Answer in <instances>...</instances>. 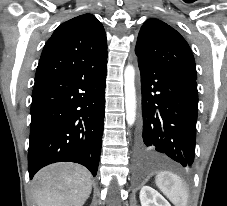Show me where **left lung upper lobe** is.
<instances>
[{
	"mask_svg": "<svg viewBox=\"0 0 227 206\" xmlns=\"http://www.w3.org/2000/svg\"><path fill=\"white\" fill-rule=\"evenodd\" d=\"M135 53L139 61L197 78L188 43L179 32L161 20L152 18L143 24Z\"/></svg>",
	"mask_w": 227,
	"mask_h": 206,
	"instance_id": "1",
	"label": "left lung upper lobe"
}]
</instances>
